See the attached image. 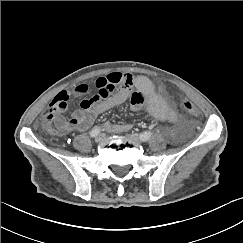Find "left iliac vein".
<instances>
[{"label": "left iliac vein", "instance_id": "obj_1", "mask_svg": "<svg viewBox=\"0 0 243 243\" xmlns=\"http://www.w3.org/2000/svg\"><path fill=\"white\" fill-rule=\"evenodd\" d=\"M128 137L134 141H137V142H142L141 138H140V135L137 134V133H131V134H128Z\"/></svg>", "mask_w": 243, "mask_h": 243}]
</instances>
